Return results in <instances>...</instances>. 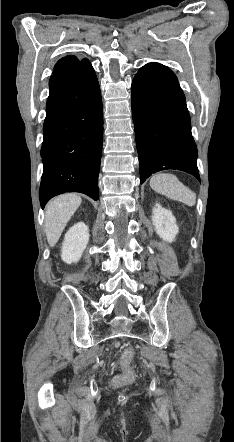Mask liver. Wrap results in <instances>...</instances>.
<instances>
[{
    "mask_svg": "<svg viewBox=\"0 0 234 442\" xmlns=\"http://www.w3.org/2000/svg\"><path fill=\"white\" fill-rule=\"evenodd\" d=\"M82 199L77 194H63L52 199L46 206L45 232L51 247L58 242L64 228L80 206Z\"/></svg>",
    "mask_w": 234,
    "mask_h": 442,
    "instance_id": "obj_1",
    "label": "liver"
}]
</instances>
